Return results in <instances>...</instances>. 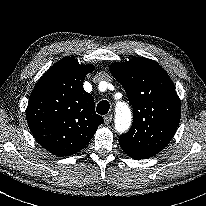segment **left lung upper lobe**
<instances>
[{
	"instance_id": "left-lung-upper-lobe-1",
	"label": "left lung upper lobe",
	"mask_w": 206,
	"mask_h": 206,
	"mask_svg": "<svg viewBox=\"0 0 206 206\" xmlns=\"http://www.w3.org/2000/svg\"><path fill=\"white\" fill-rule=\"evenodd\" d=\"M133 108L130 131L120 135L121 147L151 157L171 141L180 122L181 103L172 80L155 61L136 57L110 66Z\"/></svg>"
}]
</instances>
